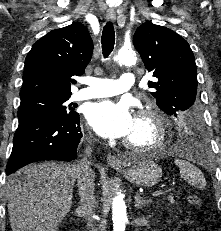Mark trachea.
Listing matches in <instances>:
<instances>
[{
  "label": "trachea",
  "instance_id": "1",
  "mask_svg": "<svg viewBox=\"0 0 221 231\" xmlns=\"http://www.w3.org/2000/svg\"><path fill=\"white\" fill-rule=\"evenodd\" d=\"M101 43L104 58H107L112 52L115 44V31L111 22H107L103 28Z\"/></svg>",
  "mask_w": 221,
  "mask_h": 231
}]
</instances>
